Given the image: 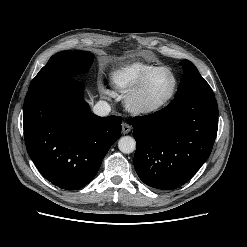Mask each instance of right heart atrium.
<instances>
[{"mask_svg":"<svg viewBox=\"0 0 247 247\" xmlns=\"http://www.w3.org/2000/svg\"><path fill=\"white\" fill-rule=\"evenodd\" d=\"M105 93L108 94V95L110 94V92L108 90H105Z\"/></svg>","mask_w":247,"mask_h":247,"instance_id":"1","label":"right heart atrium"}]
</instances>
